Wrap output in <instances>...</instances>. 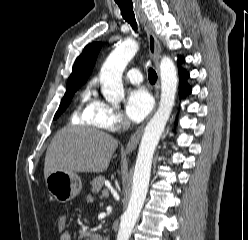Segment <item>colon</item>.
<instances>
[{
  "mask_svg": "<svg viewBox=\"0 0 248 240\" xmlns=\"http://www.w3.org/2000/svg\"><path fill=\"white\" fill-rule=\"evenodd\" d=\"M67 227H68L67 216L64 214L59 215V217L57 219V231L59 233H63L65 231H67Z\"/></svg>",
  "mask_w": 248,
  "mask_h": 240,
  "instance_id": "colon-1",
  "label": "colon"
}]
</instances>
